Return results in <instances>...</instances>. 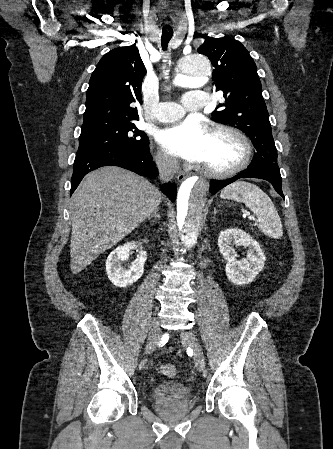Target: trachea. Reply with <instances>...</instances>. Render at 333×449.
<instances>
[{
	"instance_id": "obj_1",
	"label": "trachea",
	"mask_w": 333,
	"mask_h": 449,
	"mask_svg": "<svg viewBox=\"0 0 333 449\" xmlns=\"http://www.w3.org/2000/svg\"><path fill=\"white\" fill-rule=\"evenodd\" d=\"M172 36H173V30H172V28L166 29V28L164 27L163 30H162V36H161V46H162V49H163L164 51L167 50L168 43H169V41L171 40Z\"/></svg>"
}]
</instances>
